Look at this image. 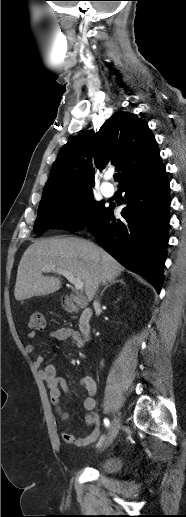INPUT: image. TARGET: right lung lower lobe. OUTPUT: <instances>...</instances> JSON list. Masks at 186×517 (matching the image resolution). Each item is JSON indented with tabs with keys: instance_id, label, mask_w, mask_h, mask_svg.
<instances>
[{
	"instance_id": "1",
	"label": "right lung lower lobe",
	"mask_w": 186,
	"mask_h": 517,
	"mask_svg": "<svg viewBox=\"0 0 186 517\" xmlns=\"http://www.w3.org/2000/svg\"><path fill=\"white\" fill-rule=\"evenodd\" d=\"M123 219L105 208L87 227L98 243L129 270L160 292L168 244L169 180L162 162L123 184Z\"/></svg>"
}]
</instances>
